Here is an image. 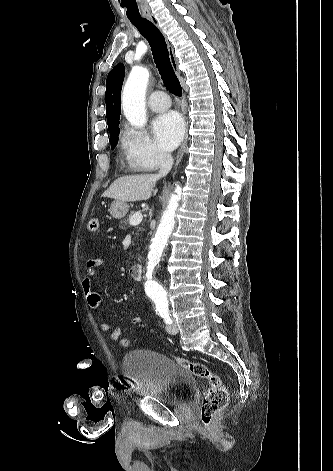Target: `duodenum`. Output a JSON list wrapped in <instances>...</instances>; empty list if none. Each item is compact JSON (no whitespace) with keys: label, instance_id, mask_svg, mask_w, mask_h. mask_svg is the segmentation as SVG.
<instances>
[{"label":"duodenum","instance_id":"duodenum-1","mask_svg":"<svg viewBox=\"0 0 333 471\" xmlns=\"http://www.w3.org/2000/svg\"><path fill=\"white\" fill-rule=\"evenodd\" d=\"M142 272H143V268L140 264H134L129 268V274L135 280L141 279Z\"/></svg>","mask_w":333,"mask_h":471}]
</instances>
